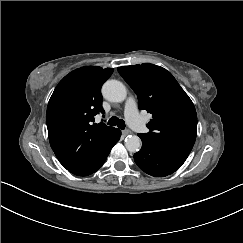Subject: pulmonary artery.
I'll return each instance as SVG.
<instances>
[{"label": "pulmonary artery", "instance_id": "1", "mask_svg": "<svg viewBox=\"0 0 243 243\" xmlns=\"http://www.w3.org/2000/svg\"><path fill=\"white\" fill-rule=\"evenodd\" d=\"M136 113H138L137 100L133 95H129L128 98L125 101L124 115L127 118V117L134 115Z\"/></svg>", "mask_w": 243, "mask_h": 243}]
</instances>
